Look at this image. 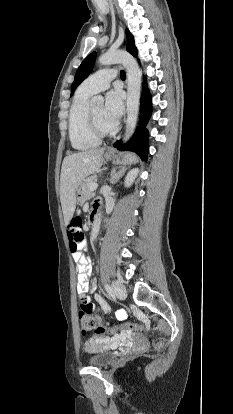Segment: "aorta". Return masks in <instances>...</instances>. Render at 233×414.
Wrapping results in <instances>:
<instances>
[{
  "label": "aorta",
  "mask_w": 233,
  "mask_h": 414,
  "mask_svg": "<svg viewBox=\"0 0 233 414\" xmlns=\"http://www.w3.org/2000/svg\"><path fill=\"white\" fill-rule=\"evenodd\" d=\"M100 65L122 64L127 71V120L123 142H127L132 136L137 123L141 72L135 58L126 51L109 50L99 57ZM103 97L95 96L91 99V104L102 105ZM101 224V212H98L93 221L91 231V241L96 240Z\"/></svg>",
  "instance_id": "1"
}]
</instances>
